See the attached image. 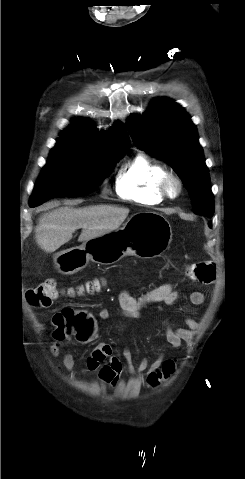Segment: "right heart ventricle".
<instances>
[{
  "instance_id": "obj_1",
  "label": "right heart ventricle",
  "mask_w": 245,
  "mask_h": 479,
  "mask_svg": "<svg viewBox=\"0 0 245 479\" xmlns=\"http://www.w3.org/2000/svg\"><path fill=\"white\" fill-rule=\"evenodd\" d=\"M167 172L162 164L137 154L121 167L116 192L121 198L140 204H159L164 200L160 182Z\"/></svg>"
}]
</instances>
